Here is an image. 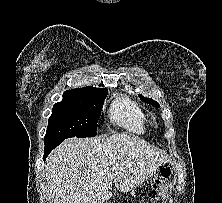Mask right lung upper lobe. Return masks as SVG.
<instances>
[{"mask_svg":"<svg viewBox=\"0 0 222 203\" xmlns=\"http://www.w3.org/2000/svg\"><path fill=\"white\" fill-rule=\"evenodd\" d=\"M108 91L107 89H97L96 87H92V86H86V87H83V88H76V89H71V90H68L66 92H106Z\"/></svg>","mask_w":222,"mask_h":203,"instance_id":"1","label":"right lung upper lobe"}]
</instances>
